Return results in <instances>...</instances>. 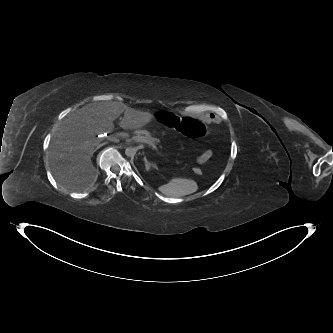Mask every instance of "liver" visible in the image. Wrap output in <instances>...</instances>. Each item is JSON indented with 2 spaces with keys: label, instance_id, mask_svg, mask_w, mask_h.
I'll use <instances>...</instances> for the list:
<instances>
[{
  "label": "liver",
  "instance_id": "1",
  "mask_svg": "<svg viewBox=\"0 0 333 333\" xmlns=\"http://www.w3.org/2000/svg\"><path fill=\"white\" fill-rule=\"evenodd\" d=\"M124 113L119 126L124 130L142 128L153 114L127 107L121 102L87 104L69 114L56 130L48 159L55 180L71 190L88 189L97 179L91 157L99 141L95 135L114 130V121Z\"/></svg>",
  "mask_w": 333,
  "mask_h": 333
}]
</instances>
